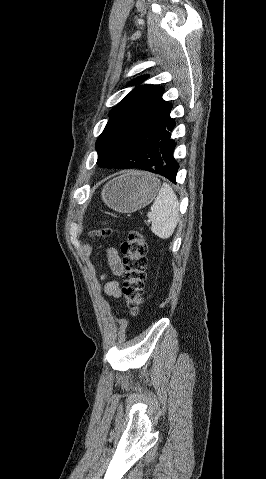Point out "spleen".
<instances>
[{
    "mask_svg": "<svg viewBox=\"0 0 266 479\" xmlns=\"http://www.w3.org/2000/svg\"><path fill=\"white\" fill-rule=\"evenodd\" d=\"M147 217L152 233L161 239L172 236L179 221V201L168 183H163Z\"/></svg>",
    "mask_w": 266,
    "mask_h": 479,
    "instance_id": "obj_1",
    "label": "spleen"
}]
</instances>
